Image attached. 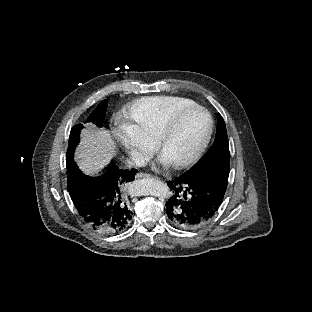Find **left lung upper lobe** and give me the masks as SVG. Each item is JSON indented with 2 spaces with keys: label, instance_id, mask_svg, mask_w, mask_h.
I'll list each match as a JSON object with an SVG mask.
<instances>
[{
  "label": "left lung upper lobe",
  "instance_id": "left-lung-upper-lobe-1",
  "mask_svg": "<svg viewBox=\"0 0 312 312\" xmlns=\"http://www.w3.org/2000/svg\"><path fill=\"white\" fill-rule=\"evenodd\" d=\"M216 138L213 146L208 150V152L187 172L194 173L202 170L205 167L215 166V165H230V152L226 126L221 115H218V126H217Z\"/></svg>",
  "mask_w": 312,
  "mask_h": 312
}]
</instances>
